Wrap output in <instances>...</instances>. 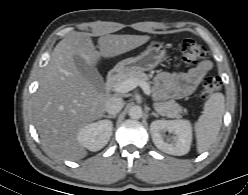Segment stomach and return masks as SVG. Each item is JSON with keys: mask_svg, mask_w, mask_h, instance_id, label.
<instances>
[{"mask_svg": "<svg viewBox=\"0 0 248 195\" xmlns=\"http://www.w3.org/2000/svg\"><path fill=\"white\" fill-rule=\"evenodd\" d=\"M165 56V45L162 42L153 41L139 55L120 61L113 71L118 74L149 71L157 67Z\"/></svg>", "mask_w": 248, "mask_h": 195, "instance_id": "stomach-1", "label": "stomach"}]
</instances>
